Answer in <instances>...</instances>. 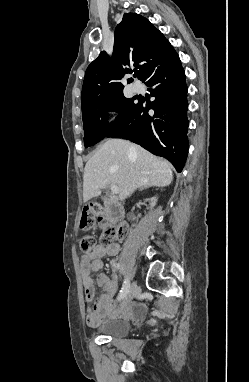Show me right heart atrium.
Instances as JSON below:
<instances>
[{"label":"right heart atrium","instance_id":"1","mask_svg":"<svg viewBox=\"0 0 249 382\" xmlns=\"http://www.w3.org/2000/svg\"><path fill=\"white\" fill-rule=\"evenodd\" d=\"M105 116H106L107 120L110 122L112 120V118H113V113L109 111V112L106 113Z\"/></svg>","mask_w":249,"mask_h":382}]
</instances>
